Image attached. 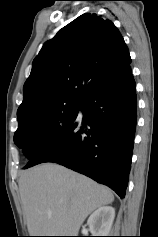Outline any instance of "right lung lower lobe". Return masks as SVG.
I'll return each instance as SVG.
<instances>
[{"mask_svg": "<svg viewBox=\"0 0 158 237\" xmlns=\"http://www.w3.org/2000/svg\"><path fill=\"white\" fill-rule=\"evenodd\" d=\"M137 100L131 67L93 89L78 111L44 141L24 168L55 162L107 185L121 198L128 185Z\"/></svg>", "mask_w": 158, "mask_h": 237, "instance_id": "right-lung-lower-lobe-1", "label": "right lung lower lobe"}]
</instances>
